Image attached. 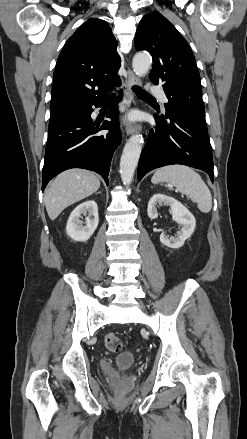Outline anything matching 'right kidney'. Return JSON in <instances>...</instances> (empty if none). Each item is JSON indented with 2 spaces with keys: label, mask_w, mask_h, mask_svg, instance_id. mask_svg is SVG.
Here are the masks:
<instances>
[{
  "label": "right kidney",
  "mask_w": 247,
  "mask_h": 439,
  "mask_svg": "<svg viewBox=\"0 0 247 439\" xmlns=\"http://www.w3.org/2000/svg\"><path fill=\"white\" fill-rule=\"evenodd\" d=\"M85 216V222L81 220ZM99 222L98 206L94 200L78 205L70 214L66 232L75 241H87L95 232Z\"/></svg>",
  "instance_id": "obj_1"
}]
</instances>
